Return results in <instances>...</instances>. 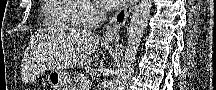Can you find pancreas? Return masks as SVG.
Returning a JSON list of instances; mask_svg holds the SVG:
<instances>
[{"instance_id": "obj_1", "label": "pancreas", "mask_w": 216, "mask_h": 90, "mask_svg": "<svg viewBox=\"0 0 216 90\" xmlns=\"http://www.w3.org/2000/svg\"><path fill=\"white\" fill-rule=\"evenodd\" d=\"M83 78H86V76H84V74H76V78H74V80H73L75 86H80V82H81V80H83Z\"/></svg>"}]
</instances>
